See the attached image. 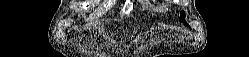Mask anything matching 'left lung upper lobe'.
<instances>
[{
	"label": "left lung upper lobe",
	"instance_id": "5c2ea615",
	"mask_svg": "<svg viewBox=\"0 0 249 57\" xmlns=\"http://www.w3.org/2000/svg\"><path fill=\"white\" fill-rule=\"evenodd\" d=\"M184 16H185V15H184V13L182 12V13H181V19H182V21L184 22V24H186V22L184 21Z\"/></svg>",
	"mask_w": 249,
	"mask_h": 57
}]
</instances>
